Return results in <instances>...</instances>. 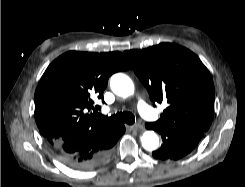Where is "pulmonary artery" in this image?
<instances>
[{
    "mask_svg": "<svg viewBox=\"0 0 245 187\" xmlns=\"http://www.w3.org/2000/svg\"><path fill=\"white\" fill-rule=\"evenodd\" d=\"M140 115L147 120H154L157 117L156 112L143 100L139 99L137 103Z\"/></svg>",
    "mask_w": 245,
    "mask_h": 187,
    "instance_id": "e3ab8cb5",
    "label": "pulmonary artery"
}]
</instances>
